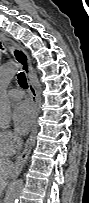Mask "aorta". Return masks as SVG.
Returning a JSON list of instances; mask_svg holds the SVG:
<instances>
[{"instance_id":"aorta-1","label":"aorta","mask_w":89,"mask_h":203,"mask_svg":"<svg viewBox=\"0 0 89 203\" xmlns=\"http://www.w3.org/2000/svg\"><path fill=\"white\" fill-rule=\"evenodd\" d=\"M17 72L14 63L10 62L2 66L0 70V85L2 89L6 88ZM12 116L11 102L7 94L2 91L0 94V125L7 127ZM22 179L15 180L10 186L3 203H18L22 190Z\"/></svg>"}]
</instances>
